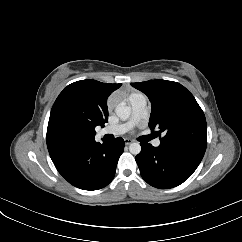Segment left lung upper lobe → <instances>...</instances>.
I'll return each mask as SVG.
<instances>
[{
	"mask_svg": "<svg viewBox=\"0 0 242 242\" xmlns=\"http://www.w3.org/2000/svg\"><path fill=\"white\" fill-rule=\"evenodd\" d=\"M151 101L149 127L158 135L164 132L161 144L205 152L207 125L204 113L193 95L181 84L166 80L131 83Z\"/></svg>",
	"mask_w": 242,
	"mask_h": 242,
	"instance_id": "obj_1",
	"label": "left lung upper lobe"
}]
</instances>
